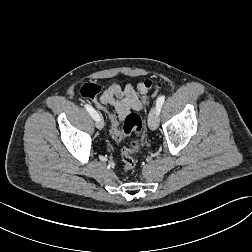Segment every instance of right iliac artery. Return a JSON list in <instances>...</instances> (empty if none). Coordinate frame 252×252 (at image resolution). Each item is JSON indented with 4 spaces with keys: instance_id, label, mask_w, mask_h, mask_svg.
I'll list each match as a JSON object with an SVG mask.
<instances>
[{
    "instance_id": "82829eb1",
    "label": "right iliac artery",
    "mask_w": 252,
    "mask_h": 252,
    "mask_svg": "<svg viewBox=\"0 0 252 252\" xmlns=\"http://www.w3.org/2000/svg\"><path fill=\"white\" fill-rule=\"evenodd\" d=\"M85 108L95 121H97L100 118L99 114L95 111V109L91 105L85 104Z\"/></svg>"
}]
</instances>
